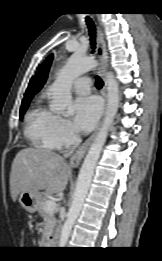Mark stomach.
<instances>
[{"label": "stomach", "instance_id": "stomach-1", "mask_svg": "<svg viewBox=\"0 0 162 261\" xmlns=\"http://www.w3.org/2000/svg\"><path fill=\"white\" fill-rule=\"evenodd\" d=\"M41 196L39 193H29V192H22L19 197V202L21 206L28 212H35L38 210L40 204Z\"/></svg>", "mask_w": 162, "mask_h": 261}]
</instances>
